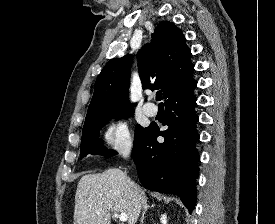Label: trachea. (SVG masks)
I'll return each mask as SVG.
<instances>
[{
	"instance_id": "3493384b",
	"label": "trachea",
	"mask_w": 275,
	"mask_h": 224,
	"mask_svg": "<svg viewBox=\"0 0 275 224\" xmlns=\"http://www.w3.org/2000/svg\"><path fill=\"white\" fill-rule=\"evenodd\" d=\"M156 100L157 101L162 100V92H157V94H156ZM160 105H162V103H160Z\"/></svg>"
}]
</instances>
